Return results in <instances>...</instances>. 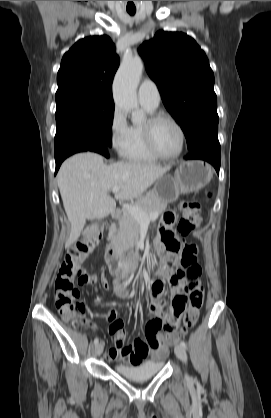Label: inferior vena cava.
Here are the masks:
<instances>
[{"label":"inferior vena cava","mask_w":271,"mask_h":418,"mask_svg":"<svg viewBox=\"0 0 271 418\" xmlns=\"http://www.w3.org/2000/svg\"><path fill=\"white\" fill-rule=\"evenodd\" d=\"M131 263L129 260H126L122 266V276L124 277L130 271Z\"/></svg>","instance_id":"602c4592"}]
</instances>
